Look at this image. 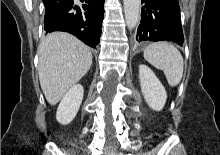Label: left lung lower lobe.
<instances>
[{"label": "left lung lower lobe", "mask_w": 220, "mask_h": 155, "mask_svg": "<svg viewBox=\"0 0 220 155\" xmlns=\"http://www.w3.org/2000/svg\"><path fill=\"white\" fill-rule=\"evenodd\" d=\"M141 24L136 40L184 42L178 0H142Z\"/></svg>", "instance_id": "0a47b994"}]
</instances>
